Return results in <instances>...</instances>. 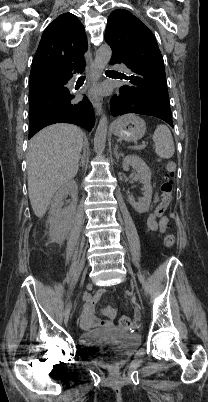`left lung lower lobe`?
Returning <instances> with one entry per match:
<instances>
[{"label": "left lung lower lobe", "mask_w": 208, "mask_h": 402, "mask_svg": "<svg viewBox=\"0 0 208 402\" xmlns=\"http://www.w3.org/2000/svg\"><path fill=\"white\" fill-rule=\"evenodd\" d=\"M115 63L120 62L112 55L110 64L113 65ZM110 107L113 116H120L127 113L154 116L164 120L173 127L170 105L156 101L147 96L143 98L142 94L131 91L125 86L120 88L119 94L112 97Z\"/></svg>", "instance_id": "0a47b994"}]
</instances>
